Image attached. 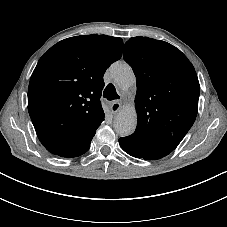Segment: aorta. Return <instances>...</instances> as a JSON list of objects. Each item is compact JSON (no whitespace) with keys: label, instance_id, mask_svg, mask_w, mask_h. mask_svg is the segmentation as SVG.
<instances>
[{"label":"aorta","instance_id":"1","mask_svg":"<svg viewBox=\"0 0 227 227\" xmlns=\"http://www.w3.org/2000/svg\"><path fill=\"white\" fill-rule=\"evenodd\" d=\"M110 73L114 82L122 89L133 87L136 78L132 68L126 62L117 61L110 67ZM137 124V114L133 107L121 110L115 118L114 129L121 137L131 135Z\"/></svg>","mask_w":227,"mask_h":227}]
</instances>
